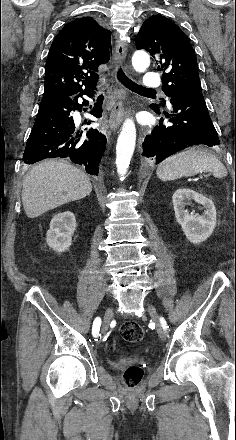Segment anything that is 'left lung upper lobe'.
Here are the masks:
<instances>
[{
    "instance_id": "obj_1",
    "label": "left lung upper lobe",
    "mask_w": 236,
    "mask_h": 440,
    "mask_svg": "<svg viewBox=\"0 0 236 440\" xmlns=\"http://www.w3.org/2000/svg\"><path fill=\"white\" fill-rule=\"evenodd\" d=\"M136 48L148 51L163 71L162 90L168 97L189 87H201L197 59L185 33L171 20L153 15L144 21ZM165 100L155 107H163Z\"/></svg>"
}]
</instances>
